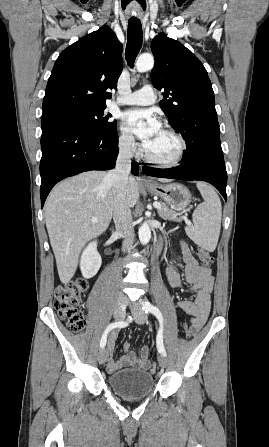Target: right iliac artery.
<instances>
[{"mask_svg":"<svg viewBox=\"0 0 269 447\" xmlns=\"http://www.w3.org/2000/svg\"><path fill=\"white\" fill-rule=\"evenodd\" d=\"M124 326H127V323L123 322V321H118V322L109 324L108 327L106 328V330L104 331L103 335H102V338H101V341H100V347L101 348L105 347L106 340H107V334H108V332L110 330H112L113 328H116V327H124Z\"/></svg>","mask_w":269,"mask_h":447,"instance_id":"right-iliac-artery-1","label":"right iliac artery"}]
</instances>
